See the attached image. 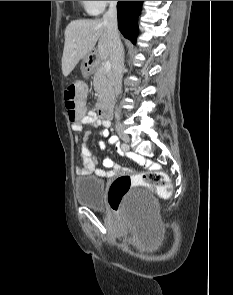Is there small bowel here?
Here are the masks:
<instances>
[{
  "label": "small bowel",
  "mask_w": 233,
  "mask_h": 295,
  "mask_svg": "<svg viewBox=\"0 0 233 295\" xmlns=\"http://www.w3.org/2000/svg\"><path fill=\"white\" fill-rule=\"evenodd\" d=\"M87 126L101 128L100 130L101 139L98 142V145L101 150H105V143L102 140L103 138H108V142L110 145L117 146L118 144L117 137L109 136V126H110L109 120L100 119L94 111L89 110V111H86L79 120L73 122L72 129L75 132H82ZM80 156L83 162V166L76 168L77 173H94L96 176L101 178H111L121 171H127L126 168L116 163L110 157H106L103 160V165L105 169L97 168L95 159L85 144L82 145ZM145 166L153 170H157L159 168L157 164H154L150 161H146Z\"/></svg>",
  "instance_id": "c3829d8e"
}]
</instances>
